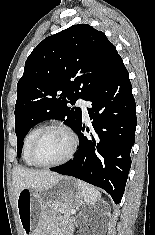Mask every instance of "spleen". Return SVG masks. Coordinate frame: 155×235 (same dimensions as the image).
<instances>
[{
    "label": "spleen",
    "mask_w": 155,
    "mask_h": 235,
    "mask_svg": "<svg viewBox=\"0 0 155 235\" xmlns=\"http://www.w3.org/2000/svg\"><path fill=\"white\" fill-rule=\"evenodd\" d=\"M77 185L80 188L83 195V200L86 203H94L100 199L101 194L95 187L81 180H77Z\"/></svg>",
    "instance_id": "1"
}]
</instances>
